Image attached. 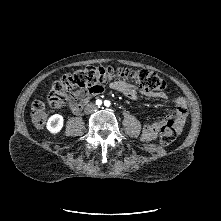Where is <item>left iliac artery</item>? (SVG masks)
Segmentation results:
<instances>
[{"mask_svg":"<svg viewBox=\"0 0 221 221\" xmlns=\"http://www.w3.org/2000/svg\"><path fill=\"white\" fill-rule=\"evenodd\" d=\"M104 105L107 106V107H109V106H110V101L105 100V101H104Z\"/></svg>","mask_w":221,"mask_h":221,"instance_id":"left-iliac-artery-1","label":"left iliac artery"}]
</instances>
